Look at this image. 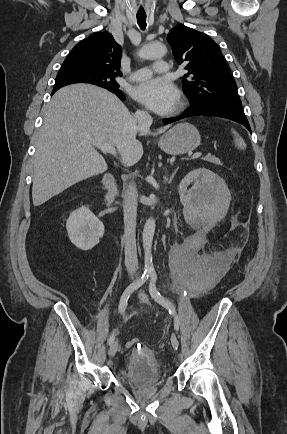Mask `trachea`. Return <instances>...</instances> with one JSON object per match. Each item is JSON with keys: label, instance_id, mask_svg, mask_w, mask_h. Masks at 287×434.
Segmentation results:
<instances>
[{"label": "trachea", "instance_id": "trachea-1", "mask_svg": "<svg viewBox=\"0 0 287 434\" xmlns=\"http://www.w3.org/2000/svg\"><path fill=\"white\" fill-rule=\"evenodd\" d=\"M136 17H137V23H138L139 27L142 30H145L146 25H147L146 24V14L145 13H142V14L137 13Z\"/></svg>", "mask_w": 287, "mask_h": 434}]
</instances>
